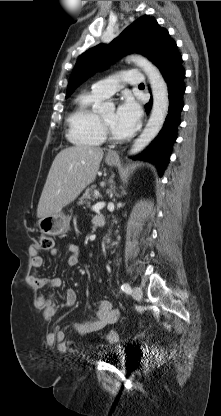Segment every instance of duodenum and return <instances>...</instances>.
Listing matches in <instances>:
<instances>
[{
	"label": "duodenum",
	"instance_id": "obj_1",
	"mask_svg": "<svg viewBox=\"0 0 221 416\" xmlns=\"http://www.w3.org/2000/svg\"><path fill=\"white\" fill-rule=\"evenodd\" d=\"M105 223V219L102 216H99L96 218V226L97 227H102Z\"/></svg>",
	"mask_w": 221,
	"mask_h": 416
}]
</instances>
